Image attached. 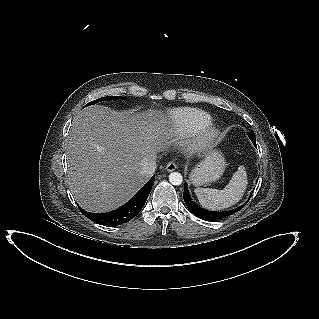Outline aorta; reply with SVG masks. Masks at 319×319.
<instances>
[{
  "instance_id": "762f6f07",
  "label": "aorta",
  "mask_w": 319,
  "mask_h": 319,
  "mask_svg": "<svg viewBox=\"0 0 319 319\" xmlns=\"http://www.w3.org/2000/svg\"><path fill=\"white\" fill-rule=\"evenodd\" d=\"M169 181L173 185H181L183 182V177L180 173L178 172H172L169 175Z\"/></svg>"
}]
</instances>
